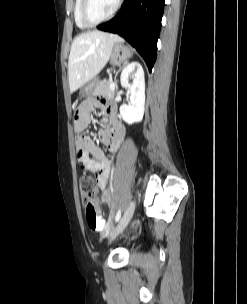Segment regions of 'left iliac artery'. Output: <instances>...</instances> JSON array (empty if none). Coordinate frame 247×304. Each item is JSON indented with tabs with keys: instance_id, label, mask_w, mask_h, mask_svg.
Segmentation results:
<instances>
[{
	"instance_id": "44dca946",
	"label": "left iliac artery",
	"mask_w": 247,
	"mask_h": 304,
	"mask_svg": "<svg viewBox=\"0 0 247 304\" xmlns=\"http://www.w3.org/2000/svg\"><path fill=\"white\" fill-rule=\"evenodd\" d=\"M121 218V209L118 210L116 216H115V222H118Z\"/></svg>"
}]
</instances>
